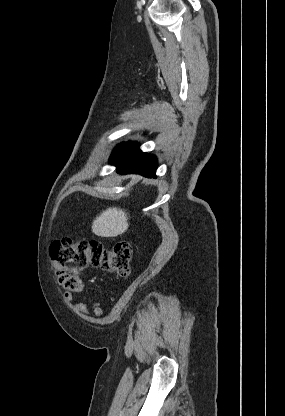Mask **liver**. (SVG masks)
Wrapping results in <instances>:
<instances>
[{
	"label": "liver",
	"instance_id": "liver-1",
	"mask_svg": "<svg viewBox=\"0 0 285 416\" xmlns=\"http://www.w3.org/2000/svg\"><path fill=\"white\" fill-rule=\"evenodd\" d=\"M127 214L118 208H107L100 216L93 220L91 226L93 234L101 238H115L127 232L129 224Z\"/></svg>",
	"mask_w": 285,
	"mask_h": 416
}]
</instances>
